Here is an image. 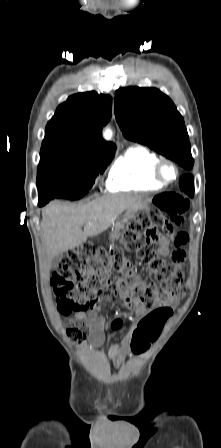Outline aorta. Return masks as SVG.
Returning a JSON list of instances; mask_svg holds the SVG:
<instances>
[{
    "label": "aorta",
    "instance_id": "762f6f07",
    "mask_svg": "<svg viewBox=\"0 0 221 448\" xmlns=\"http://www.w3.org/2000/svg\"><path fill=\"white\" fill-rule=\"evenodd\" d=\"M111 136H112V132H111V130L106 129L105 132H104V137H105L106 139H110Z\"/></svg>",
    "mask_w": 221,
    "mask_h": 448
}]
</instances>
